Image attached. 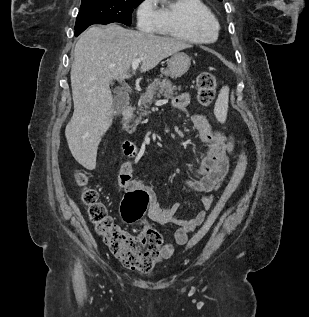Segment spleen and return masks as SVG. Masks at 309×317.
Wrapping results in <instances>:
<instances>
[{
    "label": "spleen",
    "instance_id": "spleen-1",
    "mask_svg": "<svg viewBox=\"0 0 309 317\" xmlns=\"http://www.w3.org/2000/svg\"><path fill=\"white\" fill-rule=\"evenodd\" d=\"M229 87L224 86L219 92L218 98L214 106V114L217 120L224 123L228 112Z\"/></svg>",
    "mask_w": 309,
    "mask_h": 317
}]
</instances>
